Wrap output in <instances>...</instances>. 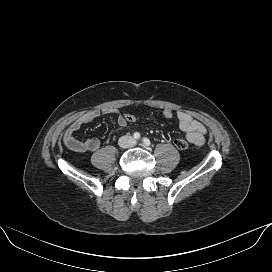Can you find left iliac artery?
<instances>
[{"instance_id": "left-iliac-artery-1", "label": "left iliac artery", "mask_w": 272, "mask_h": 272, "mask_svg": "<svg viewBox=\"0 0 272 272\" xmlns=\"http://www.w3.org/2000/svg\"><path fill=\"white\" fill-rule=\"evenodd\" d=\"M143 143L147 147L150 146V144H151V142H150V140L148 138H143Z\"/></svg>"}]
</instances>
